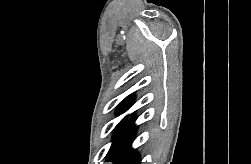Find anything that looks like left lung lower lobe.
Returning <instances> with one entry per match:
<instances>
[{"mask_svg": "<svg viewBox=\"0 0 251 164\" xmlns=\"http://www.w3.org/2000/svg\"><path fill=\"white\" fill-rule=\"evenodd\" d=\"M132 118L127 124V118L123 122L115 140L114 151L108 158L114 164H140L139 154L131 147L134 140L137 126Z\"/></svg>", "mask_w": 251, "mask_h": 164, "instance_id": "left-lung-lower-lobe-1", "label": "left lung lower lobe"}]
</instances>
